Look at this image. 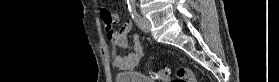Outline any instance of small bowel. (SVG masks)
Masks as SVG:
<instances>
[{"mask_svg":"<svg viewBox=\"0 0 279 82\" xmlns=\"http://www.w3.org/2000/svg\"><path fill=\"white\" fill-rule=\"evenodd\" d=\"M118 23V18L115 16L113 18V25ZM113 25L111 27L104 28L107 32L108 39L115 45L121 48H128V42L126 40V35L132 30V22L125 21L119 30H113ZM133 50L128 54H116L114 56V65L120 69L132 71L141 62L143 56V48L139 41L138 35L133 34Z\"/></svg>","mask_w":279,"mask_h":82,"instance_id":"1","label":"small bowel"}]
</instances>
